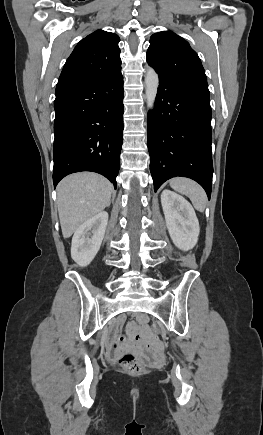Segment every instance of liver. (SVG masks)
I'll return each instance as SVG.
<instances>
[{
  "instance_id": "6515ba94",
  "label": "liver",
  "mask_w": 263,
  "mask_h": 435,
  "mask_svg": "<svg viewBox=\"0 0 263 435\" xmlns=\"http://www.w3.org/2000/svg\"><path fill=\"white\" fill-rule=\"evenodd\" d=\"M112 184L103 176L81 172L67 176L57 186V204L64 238L86 220L110 205Z\"/></svg>"
}]
</instances>
